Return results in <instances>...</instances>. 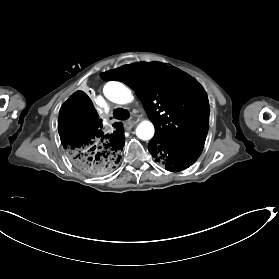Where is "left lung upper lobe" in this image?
I'll list each match as a JSON object with an SVG mask.
<instances>
[{
	"label": "left lung upper lobe",
	"instance_id": "5c2ea615",
	"mask_svg": "<svg viewBox=\"0 0 279 279\" xmlns=\"http://www.w3.org/2000/svg\"><path fill=\"white\" fill-rule=\"evenodd\" d=\"M127 84L155 126L152 140L204 146L209 128L206 93L191 78L166 65L134 63L101 74Z\"/></svg>",
	"mask_w": 279,
	"mask_h": 279
}]
</instances>
